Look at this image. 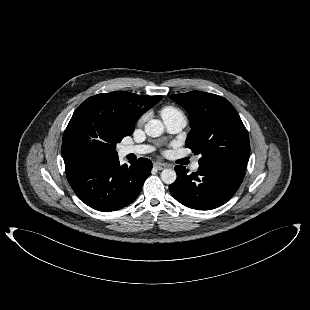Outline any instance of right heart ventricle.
Returning <instances> with one entry per match:
<instances>
[{"instance_id":"1","label":"right heart ventricle","mask_w":310,"mask_h":310,"mask_svg":"<svg viewBox=\"0 0 310 310\" xmlns=\"http://www.w3.org/2000/svg\"><path fill=\"white\" fill-rule=\"evenodd\" d=\"M162 118H169L172 116H183V113L174 106H165L160 110Z\"/></svg>"}]
</instances>
